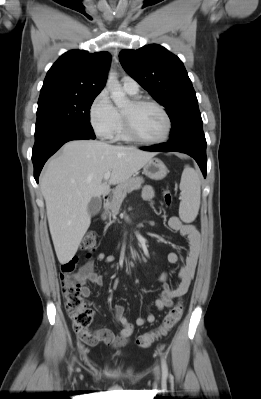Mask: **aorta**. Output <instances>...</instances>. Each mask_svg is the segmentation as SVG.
<instances>
[{"label": "aorta", "mask_w": 261, "mask_h": 399, "mask_svg": "<svg viewBox=\"0 0 261 399\" xmlns=\"http://www.w3.org/2000/svg\"><path fill=\"white\" fill-rule=\"evenodd\" d=\"M106 86L110 92L112 101L118 108H124L129 104V99L127 98L125 92L122 90V87L117 79V75L115 72L110 71L108 73Z\"/></svg>", "instance_id": "762f6f07"}]
</instances>
